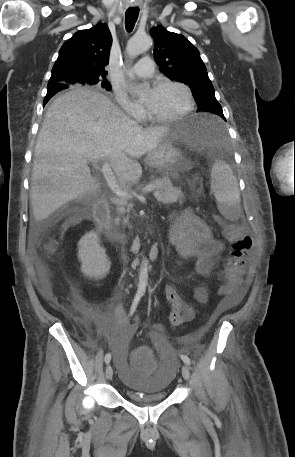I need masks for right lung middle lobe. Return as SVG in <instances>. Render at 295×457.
Segmentation results:
<instances>
[{"label":"right lung middle lobe","instance_id":"right-lung-middle-lobe-1","mask_svg":"<svg viewBox=\"0 0 295 457\" xmlns=\"http://www.w3.org/2000/svg\"><path fill=\"white\" fill-rule=\"evenodd\" d=\"M90 85H100L102 88H105L106 90L110 91L111 90V85L107 80H102L98 78H93L89 80ZM67 88V87H66Z\"/></svg>","mask_w":295,"mask_h":457}]
</instances>
